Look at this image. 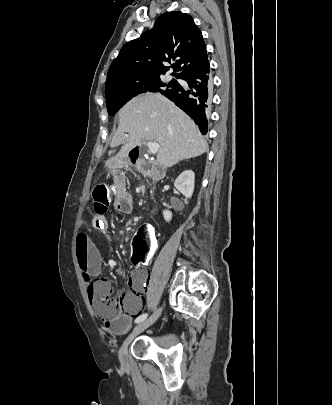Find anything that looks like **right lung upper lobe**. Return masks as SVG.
Returning <instances> with one entry per match:
<instances>
[{
    "label": "right lung upper lobe",
    "instance_id": "1",
    "mask_svg": "<svg viewBox=\"0 0 332 405\" xmlns=\"http://www.w3.org/2000/svg\"><path fill=\"white\" fill-rule=\"evenodd\" d=\"M175 59L176 77L208 59L201 31L181 11L159 16L152 29L122 47L109 68L106 88L130 77L164 75L170 70L166 63Z\"/></svg>",
    "mask_w": 332,
    "mask_h": 405
}]
</instances>
